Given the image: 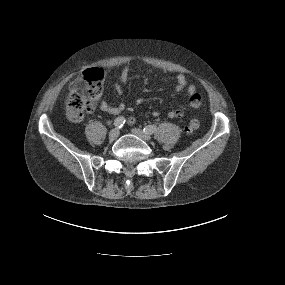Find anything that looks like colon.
<instances>
[{
    "label": "colon",
    "instance_id": "1",
    "mask_svg": "<svg viewBox=\"0 0 285 285\" xmlns=\"http://www.w3.org/2000/svg\"><path fill=\"white\" fill-rule=\"evenodd\" d=\"M104 73L99 68L86 69L74 81L66 97V112L72 121H80L87 112L93 111L101 98ZM199 121L192 119L187 124V131L193 132L199 128Z\"/></svg>",
    "mask_w": 285,
    "mask_h": 285
}]
</instances>
